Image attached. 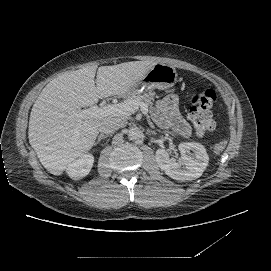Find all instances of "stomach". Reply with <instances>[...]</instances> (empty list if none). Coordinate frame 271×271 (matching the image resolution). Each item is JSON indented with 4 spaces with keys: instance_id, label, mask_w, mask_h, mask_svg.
<instances>
[{
    "instance_id": "1",
    "label": "stomach",
    "mask_w": 271,
    "mask_h": 271,
    "mask_svg": "<svg viewBox=\"0 0 271 271\" xmlns=\"http://www.w3.org/2000/svg\"><path fill=\"white\" fill-rule=\"evenodd\" d=\"M178 82V74L176 69L163 63L155 64L146 74V76L131 87L126 95H130L136 91L139 93L152 90H166L176 85Z\"/></svg>"
}]
</instances>
